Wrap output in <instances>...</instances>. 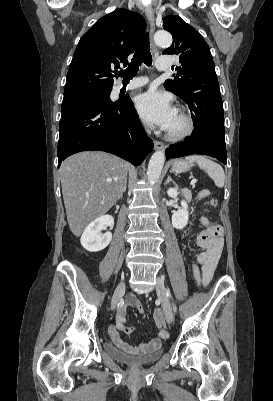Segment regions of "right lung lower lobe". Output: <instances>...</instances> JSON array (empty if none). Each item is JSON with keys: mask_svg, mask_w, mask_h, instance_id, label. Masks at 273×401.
<instances>
[{"mask_svg": "<svg viewBox=\"0 0 273 401\" xmlns=\"http://www.w3.org/2000/svg\"><path fill=\"white\" fill-rule=\"evenodd\" d=\"M59 132L58 168L68 156L89 150L109 152L140 165L153 148L130 99L64 110Z\"/></svg>", "mask_w": 273, "mask_h": 401, "instance_id": "98d812e1", "label": "right lung lower lobe"}]
</instances>
